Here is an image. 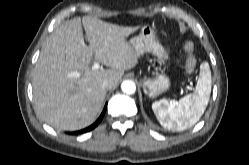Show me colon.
Returning a JSON list of instances; mask_svg holds the SVG:
<instances>
[{
	"instance_id": "1",
	"label": "colon",
	"mask_w": 249,
	"mask_h": 165,
	"mask_svg": "<svg viewBox=\"0 0 249 165\" xmlns=\"http://www.w3.org/2000/svg\"><path fill=\"white\" fill-rule=\"evenodd\" d=\"M184 50L186 52V70L188 73H192L196 67V56L194 54V44L191 41H187L184 45Z\"/></svg>"
}]
</instances>
